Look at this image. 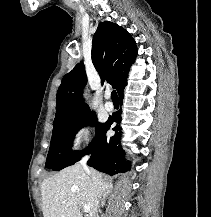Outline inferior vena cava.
Returning a JSON list of instances; mask_svg holds the SVG:
<instances>
[{"label":"inferior vena cava","mask_w":211,"mask_h":217,"mask_svg":"<svg viewBox=\"0 0 211 217\" xmlns=\"http://www.w3.org/2000/svg\"><path fill=\"white\" fill-rule=\"evenodd\" d=\"M89 159V156H85L82 158V160L80 161L81 165L83 166V168L85 170H88V166H87V161ZM98 204V202H97ZM94 217H98V214H97V209L95 210V213H94Z\"/></svg>","instance_id":"602c4592"}]
</instances>
